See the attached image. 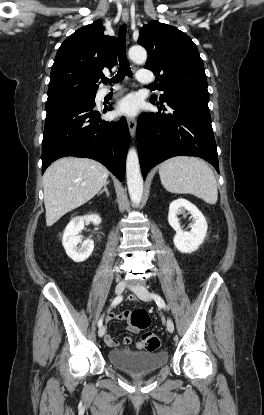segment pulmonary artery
<instances>
[{"label":"pulmonary artery","instance_id":"1","mask_svg":"<svg viewBox=\"0 0 264 415\" xmlns=\"http://www.w3.org/2000/svg\"><path fill=\"white\" fill-rule=\"evenodd\" d=\"M137 79H138L139 82H141L143 84H151L155 80L153 75H150V74H147V73H144V72H139L137 74ZM118 89H119V86H115L112 89H109V88L104 89V90H102V94L106 95V94H108L110 92H113V91H116Z\"/></svg>","mask_w":264,"mask_h":415}]
</instances>
